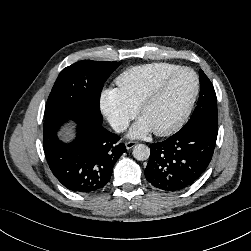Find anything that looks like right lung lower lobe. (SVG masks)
<instances>
[{
    "label": "right lung lower lobe",
    "mask_w": 251,
    "mask_h": 251,
    "mask_svg": "<svg viewBox=\"0 0 251 251\" xmlns=\"http://www.w3.org/2000/svg\"><path fill=\"white\" fill-rule=\"evenodd\" d=\"M69 120L77 124L76 138L64 143L57 132ZM119 136L103 128L102 123L82 113L72 112L45 118L43 145L48 165L67 189L77 193H93L110 180L118 158L126 152Z\"/></svg>",
    "instance_id": "right-lung-lower-lobe-1"
}]
</instances>
